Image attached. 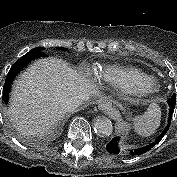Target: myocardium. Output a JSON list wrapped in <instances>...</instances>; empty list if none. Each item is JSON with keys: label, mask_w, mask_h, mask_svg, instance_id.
<instances>
[{"label": "myocardium", "mask_w": 177, "mask_h": 177, "mask_svg": "<svg viewBox=\"0 0 177 177\" xmlns=\"http://www.w3.org/2000/svg\"><path fill=\"white\" fill-rule=\"evenodd\" d=\"M129 93L146 97L155 94L159 90L158 82L152 77L127 76L124 84Z\"/></svg>", "instance_id": "obj_1"}]
</instances>
